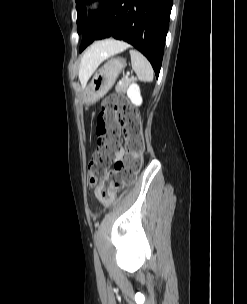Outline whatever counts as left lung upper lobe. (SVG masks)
<instances>
[{
    "instance_id": "left-lung-upper-lobe-1",
    "label": "left lung upper lobe",
    "mask_w": 247,
    "mask_h": 304,
    "mask_svg": "<svg viewBox=\"0 0 247 304\" xmlns=\"http://www.w3.org/2000/svg\"><path fill=\"white\" fill-rule=\"evenodd\" d=\"M77 9V32L82 33L88 26L98 22L101 14L105 8L108 0H103V3L99 10L89 12V17L86 18V3L92 2L93 0H75Z\"/></svg>"
}]
</instances>
